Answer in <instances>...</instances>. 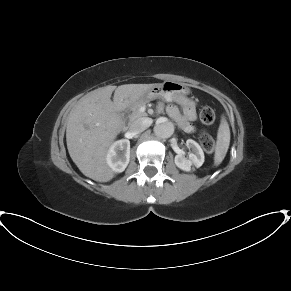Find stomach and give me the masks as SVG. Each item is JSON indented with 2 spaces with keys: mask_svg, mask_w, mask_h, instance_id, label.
Here are the masks:
<instances>
[{
  "mask_svg": "<svg viewBox=\"0 0 291 291\" xmlns=\"http://www.w3.org/2000/svg\"><path fill=\"white\" fill-rule=\"evenodd\" d=\"M187 88L177 82L165 81L161 84H155L144 97L145 100L153 99L158 96H162L166 99L171 98L177 92H187Z\"/></svg>",
  "mask_w": 291,
  "mask_h": 291,
  "instance_id": "obj_1",
  "label": "stomach"
}]
</instances>
